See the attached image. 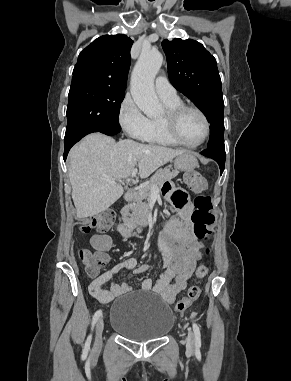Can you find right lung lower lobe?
I'll list each match as a JSON object with an SVG mask.
<instances>
[{
	"mask_svg": "<svg viewBox=\"0 0 291 381\" xmlns=\"http://www.w3.org/2000/svg\"><path fill=\"white\" fill-rule=\"evenodd\" d=\"M121 130L120 126H110V127H104V128H101V129H97V130H94L92 132H89V133H93V132H101L103 134H106V135H115L117 133H119ZM87 133V134H89ZM86 134V135H87ZM85 136V135H84ZM84 136H82L81 138H83ZM80 138V139H81ZM79 139V140H80ZM78 140V141H79ZM78 141H73V142H66L64 141V155H63V158L64 160H66L67 158V155H68V152L69 150L71 149V147Z\"/></svg>",
	"mask_w": 291,
	"mask_h": 381,
	"instance_id": "obj_1",
	"label": "right lung lower lobe"
}]
</instances>
